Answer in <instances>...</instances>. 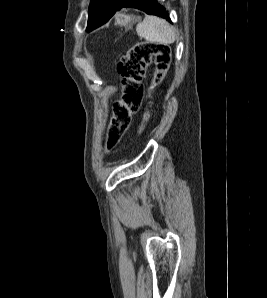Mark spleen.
<instances>
[{
  "label": "spleen",
  "mask_w": 267,
  "mask_h": 298,
  "mask_svg": "<svg viewBox=\"0 0 267 298\" xmlns=\"http://www.w3.org/2000/svg\"><path fill=\"white\" fill-rule=\"evenodd\" d=\"M136 32L139 37L151 43L172 44L176 40L174 28L156 16H146L137 24Z\"/></svg>",
  "instance_id": "3e777b00"
}]
</instances>
